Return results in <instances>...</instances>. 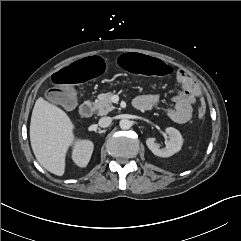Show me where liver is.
Wrapping results in <instances>:
<instances>
[{
  "instance_id": "obj_1",
  "label": "liver",
  "mask_w": 241,
  "mask_h": 241,
  "mask_svg": "<svg viewBox=\"0 0 241 241\" xmlns=\"http://www.w3.org/2000/svg\"><path fill=\"white\" fill-rule=\"evenodd\" d=\"M74 127L61 108L42 97L36 100L30 123L31 147L39 164L57 176L65 172V156L74 141Z\"/></svg>"
}]
</instances>
